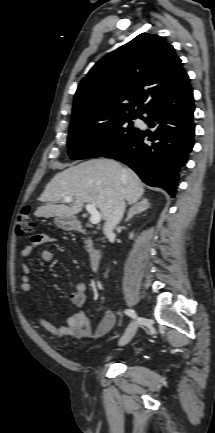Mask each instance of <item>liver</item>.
Segmentation results:
<instances>
[{
    "instance_id": "6515ba94",
    "label": "liver",
    "mask_w": 215,
    "mask_h": 433,
    "mask_svg": "<svg viewBox=\"0 0 215 433\" xmlns=\"http://www.w3.org/2000/svg\"><path fill=\"white\" fill-rule=\"evenodd\" d=\"M144 193L137 174L110 159H91L56 174L46 185L37 217L73 218L81 212L84 203L95 205L103 219H107L120 200L135 203ZM71 196V206L57 204Z\"/></svg>"
}]
</instances>
